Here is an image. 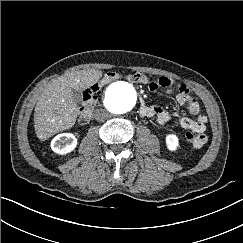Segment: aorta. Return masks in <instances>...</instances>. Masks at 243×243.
Segmentation results:
<instances>
[{"label":"aorta","instance_id":"aorta-1","mask_svg":"<svg viewBox=\"0 0 243 243\" xmlns=\"http://www.w3.org/2000/svg\"><path fill=\"white\" fill-rule=\"evenodd\" d=\"M136 102V93L132 85L126 82L112 83L105 92L103 103L114 114L130 111Z\"/></svg>","mask_w":243,"mask_h":243}]
</instances>
